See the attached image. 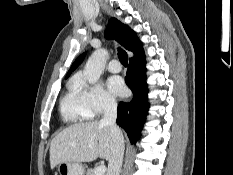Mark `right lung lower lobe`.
<instances>
[{"label": "right lung lower lobe", "mask_w": 233, "mask_h": 175, "mask_svg": "<svg viewBox=\"0 0 233 175\" xmlns=\"http://www.w3.org/2000/svg\"><path fill=\"white\" fill-rule=\"evenodd\" d=\"M145 63L144 53L130 59L125 82L132 90L133 98L118 105L117 124L126 131L131 143L139 139L149 108Z\"/></svg>", "instance_id": "right-lung-lower-lobe-1"}]
</instances>
